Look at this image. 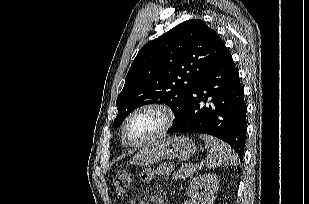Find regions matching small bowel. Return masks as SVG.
I'll return each mask as SVG.
<instances>
[{"label":"small bowel","mask_w":309,"mask_h":204,"mask_svg":"<svg viewBox=\"0 0 309 204\" xmlns=\"http://www.w3.org/2000/svg\"><path fill=\"white\" fill-rule=\"evenodd\" d=\"M171 169H172L171 164L166 163L160 167L159 173L167 174L171 171ZM154 175H155V171L153 169H150V168L144 169L141 173V180L143 182H150L153 179ZM131 204H136V201L133 200Z\"/></svg>","instance_id":"c3829d8e"}]
</instances>
